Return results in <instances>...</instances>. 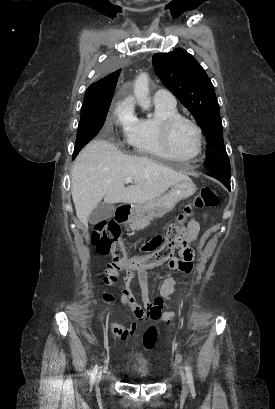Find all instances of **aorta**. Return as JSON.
<instances>
[{"mask_svg":"<svg viewBox=\"0 0 275 409\" xmlns=\"http://www.w3.org/2000/svg\"><path fill=\"white\" fill-rule=\"evenodd\" d=\"M134 94L139 106H141L143 110H149L151 100L149 96V76L146 72H141V74L137 76L134 84Z\"/></svg>","mask_w":275,"mask_h":409,"instance_id":"aorta-1","label":"aorta"}]
</instances>
